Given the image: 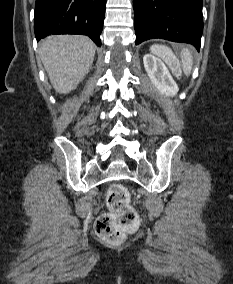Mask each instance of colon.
I'll return each mask as SVG.
<instances>
[{
  "instance_id": "1",
  "label": "colon",
  "mask_w": 233,
  "mask_h": 284,
  "mask_svg": "<svg viewBox=\"0 0 233 284\" xmlns=\"http://www.w3.org/2000/svg\"><path fill=\"white\" fill-rule=\"evenodd\" d=\"M152 53L166 63L176 78L182 77L179 60L169 47L155 44ZM107 205L109 212L96 219L95 231L102 239L120 242L137 223V213L130 205L127 188L121 184L112 185L107 192Z\"/></svg>"
}]
</instances>
